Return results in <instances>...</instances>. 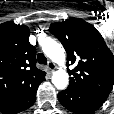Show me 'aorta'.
I'll list each match as a JSON object with an SVG mask.
<instances>
[{
	"label": "aorta",
	"mask_w": 114,
	"mask_h": 114,
	"mask_svg": "<svg viewBox=\"0 0 114 114\" xmlns=\"http://www.w3.org/2000/svg\"><path fill=\"white\" fill-rule=\"evenodd\" d=\"M42 50L47 57H49L53 62L64 66L65 64V51L64 48L55 40L51 38H47L42 43ZM69 82V75L67 71L63 68H59V70L55 71L52 75V83L54 86L63 90L67 87Z\"/></svg>",
	"instance_id": "obj_1"
}]
</instances>
